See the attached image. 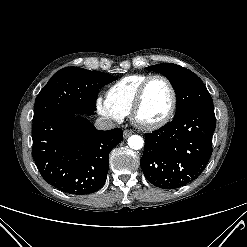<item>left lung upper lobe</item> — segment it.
<instances>
[{
  "label": "left lung upper lobe",
  "mask_w": 247,
  "mask_h": 247,
  "mask_svg": "<svg viewBox=\"0 0 247 247\" xmlns=\"http://www.w3.org/2000/svg\"><path fill=\"white\" fill-rule=\"evenodd\" d=\"M147 69L162 73L169 78L177 94L174 118L195 109H213V100L202 82L192 71L173 63H161Z\"/></svg>",
  "instance_id": "left-lung-upper-lobe-1"
}]
</instances>
